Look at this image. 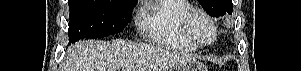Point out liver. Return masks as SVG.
Masks as SVG:
<instances>
[{
  "mask_svg": "<svg viewBox=\"0 0 301 71\" xmlns=\"http://www.w3.org/2000/svg\"><path fill=\"white\" fill-rule=\"evenodd\" d=\"M189 58L124 40L80 41L69 48L65 71H172Z\"/></svg>",
  "mask_w": 301,
  "mask_h": 71,
  "instance_id": "1",
  "label": "liver"
}]
</instances>
